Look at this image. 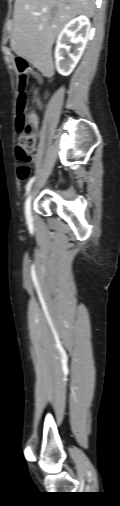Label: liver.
<instances>
[{
  "instance_id": "liver-1",
  "label": "liver",
  "mask_w": 120,
  "mask_h": 506,
  "mask_svg": "<svg viewBox=\"0 0 120 506\" xmlns=\"http://www.w3.org/2000/svg\"><path fill=\"white\" fill-rule=\"evenodd\" d=\"M95 0H15L11 48L45 75H53V43L77 15L93 17Z\"/></svg>"
}]
</instances>
